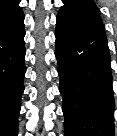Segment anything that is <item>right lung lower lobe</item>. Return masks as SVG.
Wrapping results in <instances>:
<instances>
[{
    "instance_id": "obj_1",
    "label": "right lung lower lobe",
    "mask_w": 117,
    "mask_h": 136,
    "mask_svg": "<svg viewBox=\"0 0 117 136\" xmlns=\"http://www.w3.org/2000/svg\"><path fill=\"white\" fill-rule=\"evenodd\" d=\"M24 23L0 34V136H17L26 72Z\"/></svg>"
}]
</instances>
